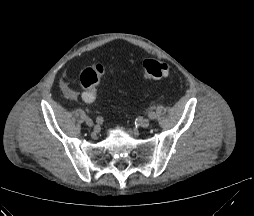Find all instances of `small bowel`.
<instances>
[{
    "mask_svg": "<svg viewBox=\"0 0 254 216\" xmlns=\"http://www.w3.org/2000/svg\"><path fill=\"white\" fill-rule=\"evenodd\" d=\"M60 87H61V89H62L64 95H65L68 99H70V100H77V99L80 98V93H79L76 89H74L67 81H65V80L61 81ZM81 96H82V98H83L85 101H87V102L93 101V100H88V99H86V98H85V93H84V92L82 93Z\"/></svg>",
    "mask_w": 254,
    "mask_h": 216,
    "instance_id": "small-bowel-1",
    "label": "small bowel"
}]
</instances>
